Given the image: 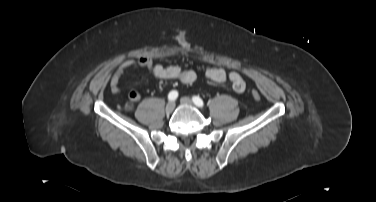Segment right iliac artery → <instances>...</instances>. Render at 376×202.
I'll return each mask as SVG.
<instances>
[{"instance_id": "obj_1", "label": "right iliac artery", "mask_w": 376, "mask_h": 202, "mask_svg": "<svg viewBox=\"0 0 376 202\" xmlns=\"http://www.w3.org/2000/svg\"><path fill=\"white\" fill-rule=\"evenodd\" d=\"M177 97H178V92H177L176 90H173V91H171V92L168 94V99H169L170 101H174V100H176Z\"/></svg>"}]
</instances>
